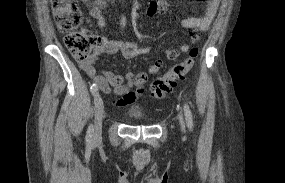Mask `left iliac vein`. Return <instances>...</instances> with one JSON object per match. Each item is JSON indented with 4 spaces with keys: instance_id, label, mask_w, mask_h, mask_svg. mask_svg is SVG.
I'll return each instance as SVG.
<instances>
[{
    "instance_id": "4c4485c4",
    "label": "left iliac vein",
    "mask_w": 285,
    "mask_h": 183,
    "mask_svg": "<svg viewBox=\"0 0 285 183\" xmlns=\"http://www.w3.org/2000/svg\"><path fill=\"white\" fill-rule=\"evenodd\" d=\"M179 120H180L182 130H184L185 125H184V121H183V116L181 114L179 116Z\"/></svg>"
}]
</instances>
